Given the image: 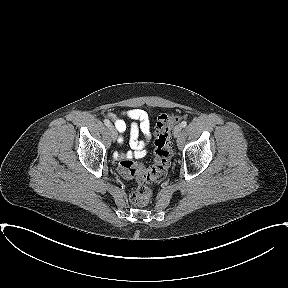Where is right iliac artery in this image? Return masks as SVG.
Masks as SVG:
<instances>
[{
	"instance_id": "1",
	"label": "right iliac artery",
	"mask_w": 288,
	"mask_h": 288,
	"mask_svg": "<svg viewBox=\"0 0 288 288\" xmlns=\"http://www.w3.org/2000/svg\"><path fill=\"white\" fill-rule=\"evenodd\" d=\"M104 124H105L106 126H108V127L111 126V123H110V121H109L108 119H105V120H104Z\"/></svg>"
}]
</instances>
